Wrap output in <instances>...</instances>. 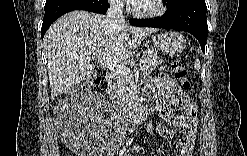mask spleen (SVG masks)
Listing matches in <instances>:
<instances>
[{"mask_svg":"<svg viewBox=\"0 0 247 156\" xmlns=\"http://www.w3.org/2000/svg\"><path fill=\"white\" fill-rule=\"evenodd\" d=\"M194 67H195V69L196 70H200V61L199 60H196L195 62H194Z\"/></svg>","mask_w":247,"mask_h":156,"instance_id":"spleen-1","label":"spleen"}]
</instances>
